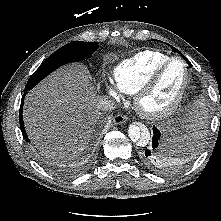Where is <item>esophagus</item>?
<instances>
[{
	"instance_id": "esophagus-1",
	"label": "esophagus",
	"mask_w": 221,
	"mask_h": 221,
	"mask_svg": "<svg viewBox=\"0 0 221 221\" xmlns=\"http://www.w3.org/2000/svg\"><path fill=\"white\" fill-rule=\"evenodd\" d=\"M128 118L123 114H117L113 117L114 124H122L126 122Z\"/></svg>"
}]
</instances>
